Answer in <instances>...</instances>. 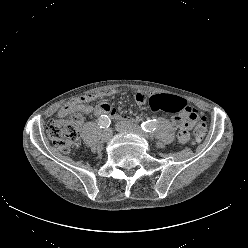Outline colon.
Wrapping results in <instances>:
<instances>
[{
	"label": "colon",
	"instance_id": "colon-1",
	"mask_svg": "<svg viewBox=\"0 0 248 248\" xmlns=\"http://www.w3.org/2000/svg\"><path fill=\"white\" fill-rule=\"evenodd\" d=\"M148 104L153 111H164L168 113H187L191 119L197 121V126L193 132V143L198 144L205 134V118L196 109L189 107L186 101L180 97L159 94L152 95L148 99ZM82 107L74 110V117L82 116ZM47 136L51 143L63 154H68L76 146L79 139V129L76 121L55 119L47 125Z\"/></svg>",
	"mask_w": 248,
	"mask_h": 248
}]
</instances>
